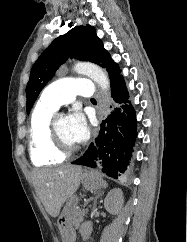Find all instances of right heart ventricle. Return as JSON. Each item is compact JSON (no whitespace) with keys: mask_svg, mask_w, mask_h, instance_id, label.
<instances>
[{"mask_svg":"<svg viewBox=\"0 0 187 242\" xmlns=\"http://www.w3.org/2000/svg\"><path fill=\"white\" fill-rule=\"evenodd\" d=\"M56 109L38 102L33 109L29 129V153L37 166H49L63 162L64 157L57 154L49 141V124Z\"/></svg>","mask_w":187,"mask_h":242,"instance_id":"1","label":"right heart ventricle"}]
</instances>
